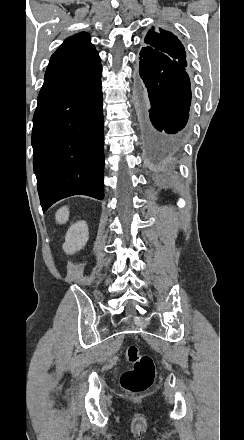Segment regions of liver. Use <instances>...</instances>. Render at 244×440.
Listing matches in <instances>:
<instances>
[{
	"label": "liver",
	"instance_id": "liver-1",
	"mask_svg": "<svg viewBox=\"0 0 244 440\" xmlns=\"http://www.w3.org/2000/svg\"><path fill=\"white\" fill-rule=\"evenodd\" d=\"M55 220L58 224H66L69 220V208H66V206L60 208V210L56 212Z\"/></svg>",
	"mask_w": 244,
	"mask_h": 440
}]
</instances>
